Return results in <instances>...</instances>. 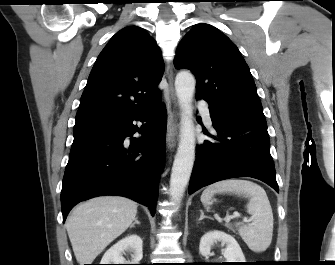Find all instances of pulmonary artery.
Instances as JSON below:
<instances>
[{
  "instance_id": "obj_1",
  "label": "pulmonary artery",
  "mask_w": 335,
  "mask_h": 265,
  "mask_svg": "<svg viewBox=\"0 0 335 265\" xmlns=\"http://www.w3.org/2000/svg\"><path fill=\"white\" fill-rule=\"evenodd\" d=\"M197 105L202 112V115H203V118H204L205 122L208 125H211L210 109H209L208 105L204 101H198Z\"/></svg>"
}]
</instances>
